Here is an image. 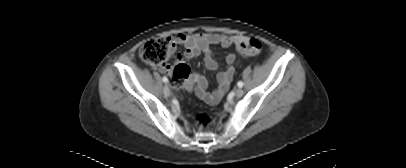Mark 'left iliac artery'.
<instances>
[{"label":"left iliac artery","instance_id":"44dca946","mask_svg":"<svg viewBox=\"0 0 406 168\" xmlns=\"http://www.w3.org/2000/svg\"><path fill=\"white\" fill-rule=\"evenodd\" d=\"M237 85H238V87H243V85H244V83L242 82V81H239L238 83H237Z\"/></svg>","mask_w":406,"mask_h":168}]
</instances>
